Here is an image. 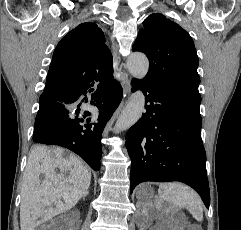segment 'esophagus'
Instances as JSON below:
<instances>
[{
    "mask_svg": "<svg viewBox=\"0 0 241 230\" xmlns=\"http://www.w3.org/2000/svg\"><path fill=\"white\" fill-rule=\"evenodd\" d=\"M112 53H113V56L117 59L120 60V56H119V53H118V50H117V45L113 44L112 45ZM122 85H123V88H124V91L126 94H129L130 92V83H129V80H123L122 81Z\"/></svg>",
    "mask_w": 241,
    "mask_h": 230,
    "instance_id": "1",
    "label": "esophagus"
}]
</instances>
